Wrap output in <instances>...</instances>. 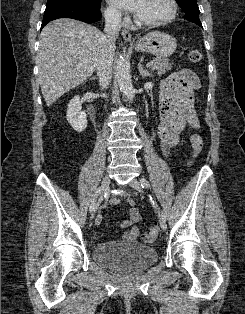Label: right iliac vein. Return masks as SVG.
Returning a JSON list of instances; mask_svg holds the SVG:
<instances>
[{
    "label": "right iliac vein",
    "mask_w": 245,
    "mask_h": 314,
    "mask_svg": "<svg viewBox=\"0 0 245 314\" xmlns=\"http://www.w3.org/2000/svg\"><path fill=\"white\" fill-rule=\"evenodd\" d=\"M109 184H110V177L108 175H106L101 183V191L99 193V199L98 202L95 206L94 209L90 210V217L93 218L94 214L96 213L101 201L103 200V198L105 197V195L107 194L108 190H109Z\"/></svg>",
    "instance_id": "1"
}]
</instances>
